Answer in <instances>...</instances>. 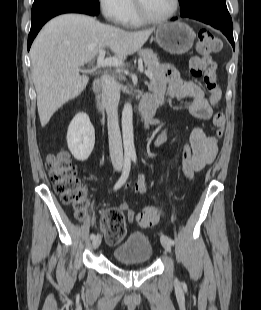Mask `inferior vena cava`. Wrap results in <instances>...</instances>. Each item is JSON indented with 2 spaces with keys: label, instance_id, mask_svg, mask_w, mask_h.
Wrapping results in <instances>:
<instances>
[{
  "label": "inferior vena cava",
  "instance_id": "inferior-vena-cava-1",
  "mask_svg": "<svg viewBox=\"0 0 261 310\" xmlns=\"http://www.w3.org/2000/svg\"><path fill=\"white\" fill-rule=\"evenodd\" d=\"M120 99L119 86L113 76H102V105L107 113L109 151L114 167L123 165V149L118 124V103Z\"/></svg>",
  "mask_w": 261,
  "mask_h": 310
}]
</instances>
